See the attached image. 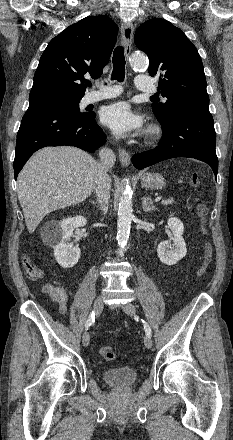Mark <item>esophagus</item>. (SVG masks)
<instances>
[{
  "instance_id": "obj_1",
  "label": "esophagus",
  "mask_w": 233,
  "mask_h": 440,
  "mask_svg": "<svg viewBox=\"0 0 233 440\" xmlns=\"http://www.w3.org/2000/svg\"><path fill=\"white\" fill-rule=\"evenodd\" d=\"M134 27L131 23H124L121 26V35H122V45L124 47L125 55L128 56L131 51V44L133 38ZM119 160L124 167H127L130 164L131 156L130 154L119 148L118 150Z\"/></svg>"
}]
</instances>
